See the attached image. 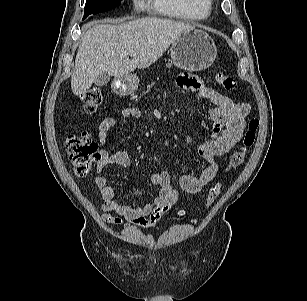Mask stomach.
I'll return each mask as SVG.
<instances>
[{"label": "stomach", "instance_id": "0dacf381", "mask_svg": "<svg viewBox=\"0 0 307 301\" xmlns=\"http://www.w3.org/2000/svg\"><path fill=\"white\" fill-rule=\"evenodd\" d=\"M174 65L187 71H201L209 68L217 56L215 42L210 35L201 29H189L180 34L170 48ZM139 84L135 74L116 77L112 82V90L117 95H128L134 92Z\"/></svg>", "mask_w": 307, "mask_h": 301}]
</instances>
